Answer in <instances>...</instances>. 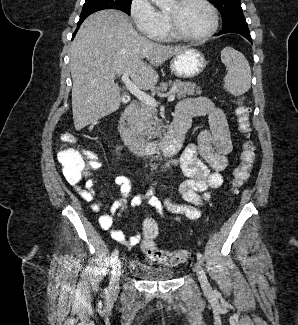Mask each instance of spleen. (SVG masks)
Here are the masks:
<instances>
[{"label": "spleen", "mask_w": 298, "mask_h": 325, "mask_svg": "<svg viewBox=\"0 0 298 325\" xmlns=\"http://www.w3.org/2000/svg\"><path fill=\"white\" fill-rule=\"evenodd\" d=\"M221 60L227 66V74L223 78V88L229 94L239 96L251 88V68L250 64L240 50H235L233 46H225L221 50Z\"/></svg>", "instance_id": "obj_1"}]
</instances>
